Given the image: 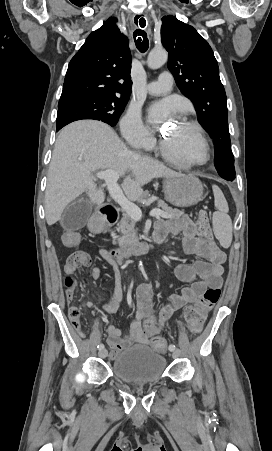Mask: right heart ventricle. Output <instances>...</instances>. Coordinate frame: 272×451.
Here are the masks:
<instances>
[{"instance_id":"obj_1","label":"right heart ventricle","mask_w":272,"mask_h":451,"mask_svg":"<svg viewBox=\"0 0 272 451\" xmlns=\"http://www.w3.org/2000/svg\"><path fill=\"white\" fill-rule=\"evenodd\" d=\"M170 103H172V104H175V103H177V100L176 99H174V98H171V99H169L168 100Z\"/></svg>"}]
</instances>
